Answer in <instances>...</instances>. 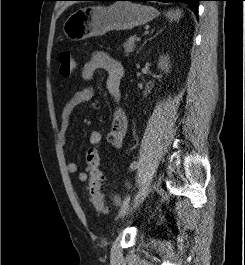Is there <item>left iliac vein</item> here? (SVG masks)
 I'll return each instance as SVG.
<instances>
[{"label":"left iliac vein","instance_id":"1","mask_svg":"<svg viewBox=\"0 0 245 265\" xmlns=\"http://www.w3.org/2000/svg\"><path fill=\"white\" fill-rule=\"evenodd\" d=\"M152 187L153 185L151 184H146L137 194L133 204H132V207L131 208H128L125 212L123 213V216L126 214V213H130V211H132L133 209H136L141 202H143L144 198L148 195V193L152 190Z\"/></svg>","mask_w":245,"mask_h":265}]
</instances>
